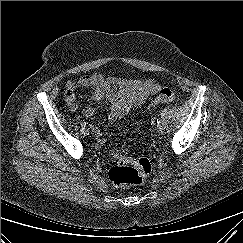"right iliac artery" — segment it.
I'll list each match as a JSON object with an SVG mask.
<instances>
[{"label":"right iliac artery","mask_w":243,"mask_h":243,"mask_svg":"<svg viewBox=\"0 0 243 243\" xmlns=\"http://www.w3.org/2000/svg\"><path fill=\"white\" fill-rule=\"evenodd\" d=\"M81 126H82V127H85V126H86V123H85V122H82V123H81Z\"/></svg>","instance_id":"right-iliac-artery-1"}]
</instances>
